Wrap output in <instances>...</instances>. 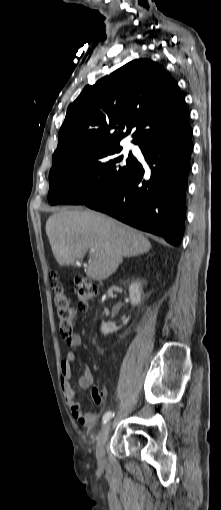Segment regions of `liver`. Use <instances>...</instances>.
<instances>
[{
    "instance_id": "obj_1",
    "label": "liver",
    "mask_w": 221,
    "mask_h": 510,
    "mask_svg": "<svg viewBox=\"0 0 221 510\" xmlns=\"http://www.w3.org/2000/svg\"><path fill=\"white\" fill-rule=\"evenodd\" d=\"M46 234L61 266L83 259L89 251L91 262L86 275L97 281L115 273L123 257L144 254L151 248L149 240L139 231L89 210L63 209L54 213L46 222Z\"/></svg>"
}]
</instances>
